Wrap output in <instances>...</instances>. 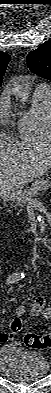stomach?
<instances>
[{
	"instance_id": "obj_1",
	"label": "stomach",
	"mask_w": 51,
	"mask_h": 393,
	"mask_svg": "<svg viewBox=\"0 0 51 393\" xmlns=\"http://www.w3.org/2000/svg\"><path fill=\"white\" fill-rule=\"evenodd\" d=\"M19 194H22V189L21 190L18 189V190L15 191V195H19Z\"/></svg>"
}]
</instances>
